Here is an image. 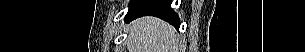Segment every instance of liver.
I'll use <instances>...</instances> for the list:
<instances>
[{"label": "liver", "mask_w": 305, "mask_h": 52, "mask_svg": "<svg viewBox=\"0 0 305 52\" xmlns=\"http://www.w3.org/2000/svg\"><path fill=\"white\" fill-rule=\"evenodd\" d=\"M128 52H178L175 29L155 17H143L128 27Z\"/></svg>", "instance_id": "obj_1"}]
</instances>
